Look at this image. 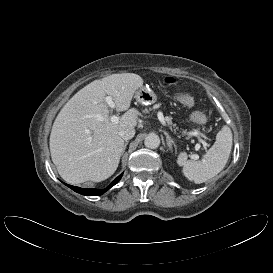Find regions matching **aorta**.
I'll list each match as a JSON object with an SVG mask.
<instances>
[{"mask_svg":"<svg viewBox=\"0 0 273 273\" xmlns=\"http://www.w3.org/2000/svg\"><path fill=\"white\" fill-rule=\"evenodd\" d=\"M144 144L147 148L156 149L160 145V138L157 134L150 133L146 136Z\"/></svg>","mask_w":273,"mask_h":273,"instance_id":"1","label":"aorta"}]
</instances>
